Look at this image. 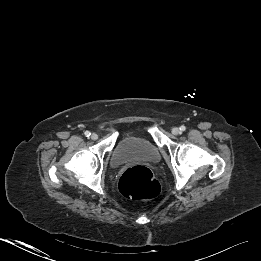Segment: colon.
<instances>
[{
	"mask_svg": "<svg viewBox=\"0 0 261 261\" xmlns=\"http://www.w3.org/2000/svg\"><path fill=\"white\" fill-rule=\"evenodd\" d=\"M119 190L129 199L149 200L160 193L161 187L147 167L134 166L122 174L119 180Z\"/></svg>",
	"mask_w": 261,
	"mask_h": 261,
	"instance_id": "obj_1",
	"label": "colon"
}]
</instances>
